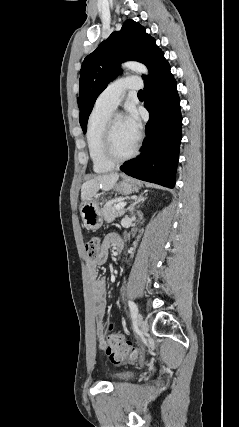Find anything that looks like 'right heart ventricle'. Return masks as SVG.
<instances>
[{"mask_svg":"<svg viewBox=\"0 0 239 427\" xmlns=\"http://www.w3.org/2000/svg\"><path fill=\"white\" fill-rule=\"evenodd\" d=\"M112 111L94 107L90 113L87 130L86 142L88 153L92 162L93 170L97 173H105L113 168V164L105 160L102 155V138L108 118Z\"/></svg>","mask_w":239,"mask_h":427,"instance_id":"e07e8e85","label":"right heart ventricle"}]
</instances>
